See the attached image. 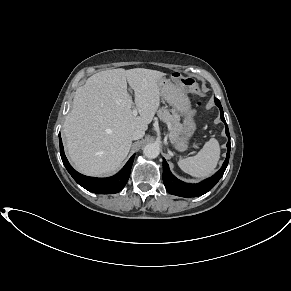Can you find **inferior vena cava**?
Returning a JSON list of instances; mask_svg holds the SVG:
<instances>
[{"instance_id":"obj_1","label":"inferior vena cava","mask_w":291,"mask_h":291,"mask_svg":"<svg viewBox=\"0 0 291 291\" xmlns=\"http://www.w3.org/2000/svg\"><path fill=\"white\" fill-rule=\"evenodd\" d=\"M145 134V131L141 130V129H136L135 131H133L131 138L132 140H138L141 139Z\"/></svg>"}]
</instances>
